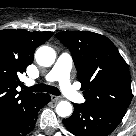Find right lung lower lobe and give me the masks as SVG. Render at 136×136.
Masks as SVG:
<instances>
[{"instance_id":"98d812e1","label":"right lung lower lobe","mask_w":136,"mask_h":136,"mask_svg":"<svg viewBox=\"0 0 136 136\" xmlns=\"http://www.w3.org/2000/svg\"><path fill=\"white\" fill-rule=\"evenodd\" d=\"M49 94H37L16 118L0 125V136H25L34 127L38 111L50 101Z\"/></svg>"}]
</instances>
